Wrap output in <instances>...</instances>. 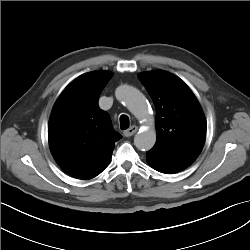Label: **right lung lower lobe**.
Wrapping results in <instances>:
<instances>
[{"label":"right lung lower lobe","instance_id":"obj_1","mask_svg":"<svg viewBox=\"0 0 250 250\" xmlns=\"http://www.w3.org/2000/svg\"><path fill=\"white\" fill-rule=\"evenodd\" d=\"M108 164H109V162L107 164L103 165L101 168H99L93 174H91L90 176H88L86 179H91V178L97 176L98 174H100L108 166ZM86 179H84V180H86Z\"/></svg>","mask_w":250,"mask_h":250}]
</instances>
